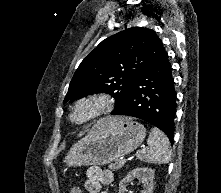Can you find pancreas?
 <instances>
[{
    "label": "pancreas",
    "mask_w": 221,
    "mask_h": 193,
    "mask_svg": "<svg viewBox=\"0 0 221 193\" xmlns=\"http://www.w3.org/2000/svg\"><path fill=\"white\" fill-rule=\"evenodd\" d=\"M125 162L121 161V160H116L115 163H112L109 165V169L115 171L120 169L122 166H124Z\"/></svg>",
    "instance_id": "obj_1"
}]
</instances>
